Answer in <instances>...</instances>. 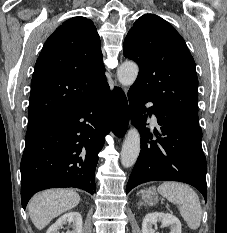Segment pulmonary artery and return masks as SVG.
<instances>
[{"label": "pulmonary artery", "mask_w": 227, "mask_h": 233, "mask_svg": "<svg viewBox=\"0 0 227 233\" xmlns=\"http://www.w3.org/2000/svg\"><path fill=\"white\" fill-rule=\"evenodd\" d=\"M152 119H153V120H156V117H155V115H154V114L152 115Z\"/></svg>", "instance_id": "pulmonary-artery-1"}]
</instances>
